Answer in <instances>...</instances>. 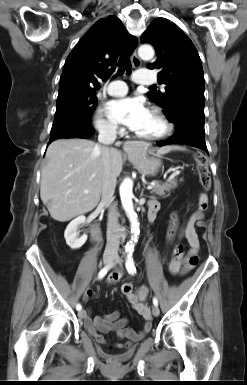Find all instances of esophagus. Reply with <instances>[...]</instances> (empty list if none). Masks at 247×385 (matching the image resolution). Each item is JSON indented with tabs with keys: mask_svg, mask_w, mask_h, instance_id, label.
Returning <instances> with one entry per match:
<instances>
[{
	"mask_svg": "<svg viewBox=\"0 0 247 385\" xmlns=\"http://www.w3.org/2000/svg\"><path fill=\"white\" fill-rule=\"evenodd\" d=\"M131 61H132V65L134 66V68H139L141 66V60L139 59L136 50L133 52V54L131 56ZM137 147H138V144L131 142V141H127L124 144V149L127 151H131L132 149L137 148Z\"/></svg>",
	"mask_w": 247,
	"mask_h": 385,
	"instance_id": "esophagus-1",
	"label": "esophagus"
}]
</instances>
